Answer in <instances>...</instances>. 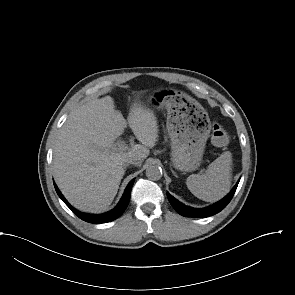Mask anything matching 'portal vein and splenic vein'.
<instances>
[{
  "label": "portal vein and splenic vein",
  "instance_id": "18ae733b",
  "mask_svg": "<svg viewBox=\"0 0 295 295\" xmlns=\"http://www.w3.org/2000/svg\"><path fill=\"white\" fill-rule=\"evenodd\" d=\"M134 146H132V148H133ZM131 148V149H132ZM128 149V147L126 146V144H124V143H119L118 144V147H112V150H114V151H125V150H127Z\"/></svg>",
  "mask_w": 295,
  "mask_h": 295
}]
</instances>
